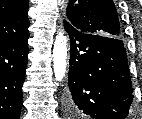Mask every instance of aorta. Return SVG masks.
Segmentation results:
<instances>
[{
  "mask_svg": "<svg viewBox=\"0 0 142 119\" xmlns=\"http://www.w3.org/2000/svg\"><path fill=\"white\" fill-rule=\"evenodd\" d=\"M67 66V42L63 32L56 35L53 46V69L57 81H62Z\"/></svg>",
  "mask_w": 142,
  "mask_h": 119,
  "instance_id": "762f6f07",
  "label": "aorta"
}]
</instances>
